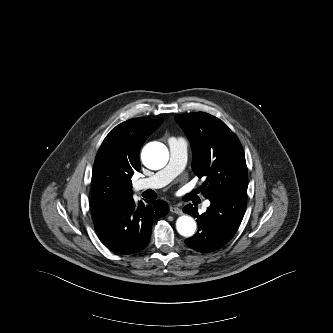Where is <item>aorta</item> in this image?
<instances>
[{"label":"aorta","instance_id":"762f6f07","mask_svg":"<svg viewBox=\"0 0 333 333\" xmlns=\"http://www.w3.org/2000/svg\"><path fill=\"white\" fill-rule=\"evenodd\" d=\"M143 164L151 169L158 170L163 168L169 159V152L166 146L159 142L147 144L141 154ZM178 233L184 237H191L196 231V222L190 216L183 215L176 221Z\"/></svg>","mask_w":333,"mask_h":333}]
</instances>
